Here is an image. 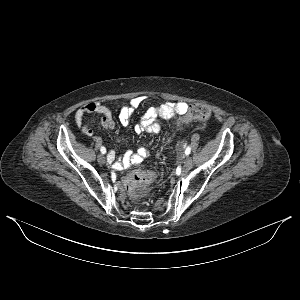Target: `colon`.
Returning a JSON list of instances; mask_svg holds the SVG:
<instances>
[{"label": "colon", "instance_id": "obj_1", "mask_svg": "<svg viewBox=\"0 0 300 300\" xmlns=\"http://www.w3.org/2000/svg\"><path fill=\"white\" fill-rule=\"evenodd\" d=\"M210 116V109L201 103L190 105L186 114L182 117V122H205ZM160 175L158 173L134 172L129 174L124 180L125 190L133 199H140L149 193V184L151 181L158 182Z\"/></svg>", "mask_w": 300, "mask_h": 300}]
</instances>
